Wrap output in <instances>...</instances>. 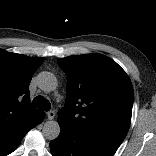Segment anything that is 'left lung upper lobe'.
<instances>
[{
    "instance_id": "5c2ea615",
    "label": "left lung upper lobe",
    "mask_w": 156,
    "mask_h": 156,
    "mask_svg": "<svg viewBox=\"0 0 156 156\" xmlns=\"http://www.w3.org/2000/svg\"><path fill=\"white\" fill-rule=\"evenodd\" d=\"M58 65L67 75L66 102L58 121L119 147L130 126L134 100L128 75L100 54L69 56Z\"/></svg>"
}]
</instances>
